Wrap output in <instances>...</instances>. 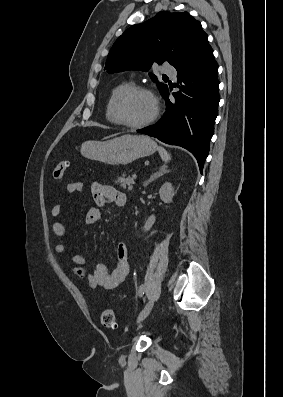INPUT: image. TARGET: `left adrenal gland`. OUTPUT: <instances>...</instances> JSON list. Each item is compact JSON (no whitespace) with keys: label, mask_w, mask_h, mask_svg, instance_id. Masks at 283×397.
<instances>
[{"label":"left adrenal gland","mask_w":283,"mask_h":397,"mask_svg":"<svg viewBox=\"0 0 283 397\" xmlns=\"http://www.w3.org/2000/svg\"><path fill=\"white\" fill-rule=\"evenodd\" d=\"M168 172H169V170H167L165 167H161L158 172L152 174L150 176V178L144 182V187H147L148 184H150L152 181L156 180L157 178H159L160 176H162Z\"/></svg>","instance_id":"left-adrenal-gland-1"}]
</instances>
